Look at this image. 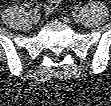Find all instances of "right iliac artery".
Wrapping results in <instances>:
<instances>
[{"label":"right iliac artery","instance_id":"1","mask_svg":"<svg viewBox=\"0 0 111 106\" xmlns=\"http://www.w3.org/2000/svg\"><path fill=\"white\" fill-rule=\"evenodd\" d=\"M40 11V7L36 6L34 9H33V12L36 14Z\"/></svg>","mask_w":111,"mask_h":106}]
</instances>
